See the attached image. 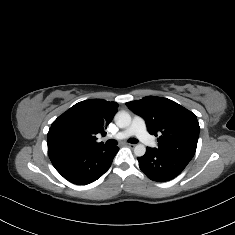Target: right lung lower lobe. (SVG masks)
Instances as JSON below:
<instances>
[{
  "instance_id": "obj_1",
  "label": "right lung lower lobe",
  "mask_w": 235,
  "mask_h": 235,
  "mask_svg": "<svg viewBox=\"0 0 235 235\" xmlns=\"http://www.w3.org/2000/svg\"><path fill=\"white\" fill-rule=\"evenodd\" d=\"M118 147L57 148L48 147L55 169L68 181L86 185L100 178L111 166Z\"/></svg>"
}]
</instances>
